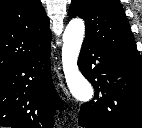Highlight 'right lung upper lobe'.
Returning a JSON list of instances; mask_svg holds the SVG:
<instances>
[{
    "label": "right lung upper lobe",
    "instance_id": "cb5924a9",
    "mask_svg": "<svg viewBox=\"0 0 142 128\" xmlns=\"http://www.w3.org/2000/svg\"><path fill=\"white\" fill-rule=\"evenodd\" d=\"M51 38L40 0H0V74L41 53Z\"/></svg>",
    "mask_w": 142,
    "mask_h": 128
}]
</instances>
